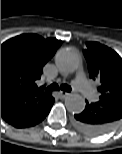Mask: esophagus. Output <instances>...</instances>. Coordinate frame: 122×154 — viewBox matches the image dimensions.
<instances>
[{"label": "esophagus", "mask_w": 122, "mask_h": 154, "mask_svg": "<svg viewBox=\"0 0 122 154\" xmlns=\"http://www.w3.org/2000/svg\"><path fill=\"white\" fill-rule=\"evenodd\" d=\"M58 94H59V97H60V98H65L66 96L69 95V93L64 92V91H60Z\"/></svg>", "instance_id": "esophagus-1"}]
</instances>
